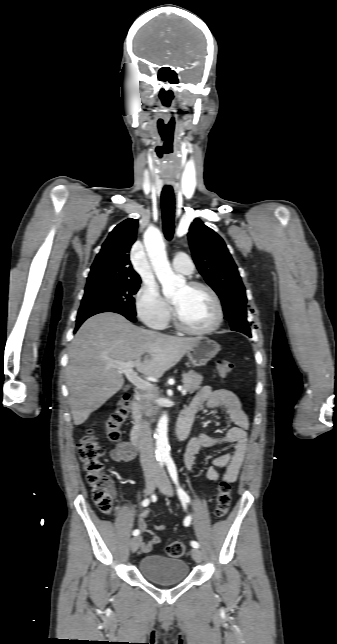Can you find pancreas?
Masks as SVG:
<instances>
[{"mask_svg":"<svg viewBox=\"0 0 337 644\" xmlns=\"http://www.w3.org/2000/svg\"><path fill=\"white\" fill-rule=\"evenodd\" d=\"M202 380H203V377L200 374L191 370L183 375V387L184 389H186L187 392L192 394L199 389ZM157 396H158L157 392H152V393L145 394L142 397L141 403L146 408L147 413L155 414L156 411L159 409V406L154 405V399Z\"/></svg>","mask_w":337,"mask_h":644,"instance_id":"pancreas-1","label":"pancreas"}]
</instances>
